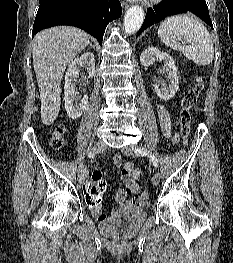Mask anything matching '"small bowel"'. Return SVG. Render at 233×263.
Here are the masks:
<instances>
[{"label":"small bowel","mask_w":233,"mask_h":263,"mask_svg":"<svg viewBox=\"0 0 233 263\" xmlns=\"http://www.w3.org/2000/svg\"><path fill=\"white\" fill-rule=\"evenodd\" d=\"M157 114L163 135L172 143H178L181 136L179 133L172 132V126L176 122L172 112L164 105H158ZM113 160L117 166L122 164V157L120 155H115ZM140 174L141 171L138 168H135L131 162H128L123 166L121 176L125 187L119 189L115 194V200L120 205L119 209L139 208L142 205L139 196L141 188L138 183ZM86 186H89V184ZM128 196H131V198L128 199ZM90 209L99 221H104L108 218L102 211L99 202H97L95 208Z\"/></svg>","instance_id":"1"}]
</instances>
